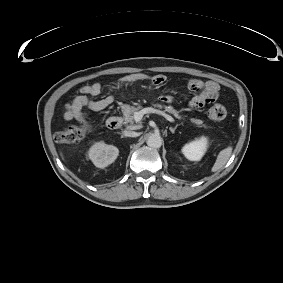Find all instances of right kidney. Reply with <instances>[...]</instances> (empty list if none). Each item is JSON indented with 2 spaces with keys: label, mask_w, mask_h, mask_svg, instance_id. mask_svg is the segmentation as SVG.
<instances>
[{
  "label": "right kidney",
  "mask_w": 283,
  "mask_h": 283,
  "mask_svg": "<svg viewBox=\"0 0 283 283\" xmlns=\"http://www.w3.org/2000/svg\"><path fill=\"white\" fill-rule=\"evenodd\" d=\"M119 154L117 147L106 145L104 142H96L89 149V158L98 168H105L113 163Z\"/></svg>",
  "instance_id": "obj_1"
}]
</instances>
